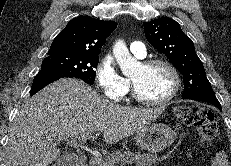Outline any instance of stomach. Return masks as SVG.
Wrapping results in <instances>:
<instances>
[{
    "label": "stomach",
    "mask_w": 231,
    "mask_h": 166,
    "mask_svg": "<svg viewBox=\"0 0 231 166\" xmlns=\"http://www.w3.org/2000/svg\"><path fill=\"white\" fill-rule=\"evenodd\" d=\"M176 139V133L164 123H154L136 132L134 140L136 145L151 153L163 151Z\"/></svg>",
    "instance_id": "0dacf381"
}]
</instances>
